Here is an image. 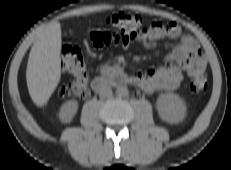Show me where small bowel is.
I'll return each instance as SVG.
<instances>
[{
  "label": "small bowel",
  "mask_w": 231,
  "mask_h": 170,
  "mask_svg": "<svg viewBox=\"0 0 231 170\" xmlns=\"http://www.w3.org/2000/svg\"><path fill=\"white\" fill-rule=\"evenodd\" d=\"M164 38L179 39V43L166 57L164 64L134 73L133 83L149 93L178 89L184 75L195 76L206 67V59L196 40L182 31L177 23L164 25L153 22L136 37L122 35L114 30L93 31L89 34V42L96 48L109 45L129 47L133 41L145 47H153Z\"/></svg>",
  "instance_id": "1"
}]
</instances>
